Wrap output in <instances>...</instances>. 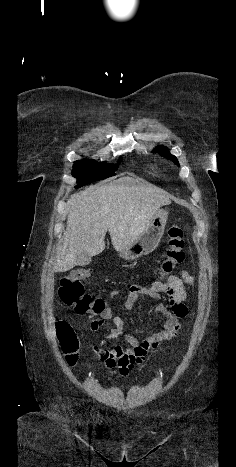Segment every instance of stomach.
I'll list each match as a JSON object with an SVG mask.
<instances>
[{
  "label": "stomach",
  "instance_id": "1",
  "mask_svg": "<svg viewBox=\"0 0 236 467\" xmlns=\"http://www.w3.org/2000/svg\"><path fill=\"white\" fill-rule=\"evenodd\" d=\"M168 219V212L158 209L143 232L126 248L118 251L119 256L125 260H134L151 253L158 246Z\"/></svg>",
  "mask_w": 236,
  "mask_h": 467
}]
</instances>
